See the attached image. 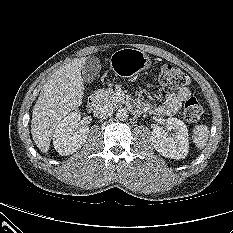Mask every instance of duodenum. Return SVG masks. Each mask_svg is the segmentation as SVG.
<instances>
[{"mask_svg": "<svg viewBox=\"0 0 233 233\" xmlns=\"http://www.w3.org/2000/svg\"><path fill=\"white\" fill-rule=\"evenodd\" d=\"M99 99L96 95H92L88 98L87 107L89 110H93L97 107Z\"/></svg>", "mask_w": 233, "mask_h": 233, "instance_id": "obj_1", "label": "duodenum"}]
</instances>
